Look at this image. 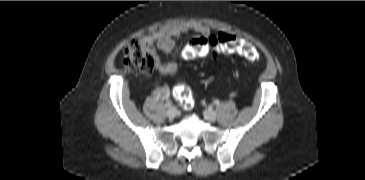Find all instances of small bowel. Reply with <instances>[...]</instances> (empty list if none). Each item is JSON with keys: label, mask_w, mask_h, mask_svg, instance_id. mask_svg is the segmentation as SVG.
Wrapping results in <instances>:
<instances>
[{"label": "small bowel", "mask_w": 365, "mask_h": 180, "mask_svg": "<svg viewBox=\"0 0 365 180\" xmlns=\"http://www.w3.org/2000/svg\"><path fill=\"white\" fill-rule=\"evenodd\" d=\"M191 31L197 33L199 37L208 38L210 35L209 28L202 23H185L160 29L152 35L142 38V43L154 52L169 53L174 49L176 39ZM156 69L160 75L174 76L178 72V65L175 62L162 63L157 59ZM154 94L165 99L169 96L170 89L167 85H160L155 88Z\"/></svg>", "instance_id": "obj_1"}]
</instances>
